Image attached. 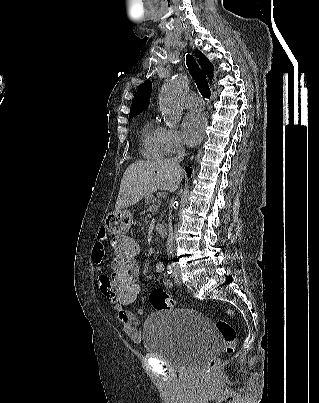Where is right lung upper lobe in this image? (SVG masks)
<instances>
[{
  "label": "right lung upper lobe",
  "mask_w": 319,
  "mask_h": 403,
  "mask_svg": "<svg viewBox=\"0 0 319 403\" xmlns=\"http://www.w3.org/2000/svg\"><path fill=\"white\" fill-rule=\"evenodd\" d=\"M196 57L199 60V64L201 68L205 71L208 77L211 79L213 77V65L207 59V57L202 54L200 51L196 53ZM152 83L147 80L145 81L137 90L134 95L133 102L130 109L129 116H136L145 109H147L150 102Z\"/></svg>",
  "instance_id": "obj_1"
}]
</instances>
